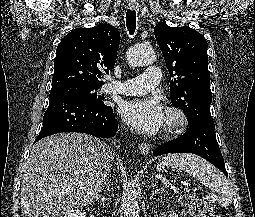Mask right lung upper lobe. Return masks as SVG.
<instances>
[{
  "instance_id": "right-lung-upper-lobe-1",
  "label": "right lung upper lobe",
  "mask_w": 255,
  "mask_h": 217,
  "mask_svg": "<svg viewBox=\"0 0 255 217\" xmlns=\"http://www.w3.org/2000/svg\"><path fill=\"white\" fill-rule=\"evenodd\" d=\"M119 43V31L109 24L72 30L57 47L52 87H101V74L114 67Z\"/></svg>"
}]
</instances>
